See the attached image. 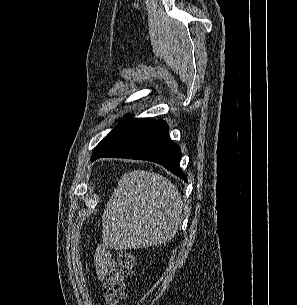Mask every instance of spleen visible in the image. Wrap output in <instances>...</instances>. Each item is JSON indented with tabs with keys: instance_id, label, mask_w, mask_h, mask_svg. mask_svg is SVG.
Here are the masks:
<instances>
[{
	"instance_id": "obj_1",
	"label": "spleen",
	"mask_w": 297,
	"mask_h": 305,
	"mask_svg": "<svg viewBox=\"0 0 297 305\" xmlns=\"http://www.w3.org/2000/svg\"><path fill=\"white\" fill-rule=\"evenodd\" d=\"M183 202L176 186L144 170L124 173L103 214V234L116 248H141L171 240Z\"/></svg>"
}]
</instances>
